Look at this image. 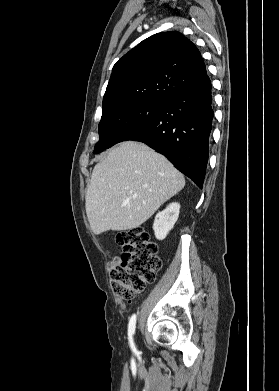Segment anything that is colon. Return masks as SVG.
<instances>
[{
	"instance_id": "1",
	"label": "colon",
	"mask_w": 279,
	"mask_h": 391,
	"mask_svg": "<svg viewBox=\"0 0 279 391\" xmlns=\"http://www.w3.org/2000/svg\"><path fill=\"white\" fill-rule=\"evenodd\" d=\"M116 242L122 248L119 262L110 272L114 293L131 301L153 283L162 262L157 255L158 246L141 227L121 231Z\"/></svg>"
}]
</instances>
